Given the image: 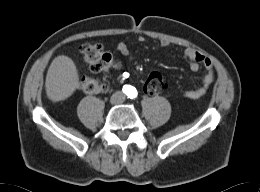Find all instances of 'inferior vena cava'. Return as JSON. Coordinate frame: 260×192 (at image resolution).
Listing matches in <instances>:
<instances>
[{"instance_id": "1", "label": "inferior vena cava", "mask_w": 260, "mask_h": 192, "mask_svg": "<svg viewBox=\"0 0 260 192\" xmlns=\"http://www.w3.org/2000/svg\"><path fill=\"white\" fill-rule=\"evenodd\" d=\"M119 95H120V97H121L119 101H123V100H124L123 94L119 93Z\"/></svg>"}]
</instances>
